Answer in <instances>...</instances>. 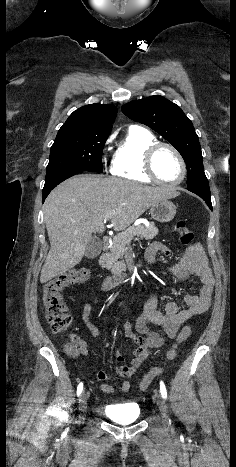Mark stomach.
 <instances>
[{
  "label": "stomach",
  "mask_w": 236,
  "mask_h": 467,
  "mask_svg": "<svg viewBox=\"0 0 236 467\" xmlns=\"http://www.w3.org/2000/svg\"><path fill=\"white\" fill-rule=\"evenodd\" d=\"M150 214L158 222H170L176 214V206L169 200H162L151 206Z\"/></svg>",
  "instance_id": "1"
}]
</instances>
